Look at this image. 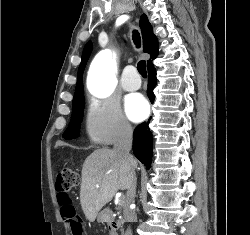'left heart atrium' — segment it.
Instances as JSON below:
<instances>
[{
    "mask_svg": "<svg viewBox=\"0 0 250 235\" xmlns=\"http://www.w3.org/2000/svg\"><path fill=\"white\" fill-rule=\"evenodd\" d=\"M129 117L134 121H140L146 117L148 106L141 96H134L129 99L126 106Z\"/></svg>",
    "mask_w": 250,
    "mask_h": 235,
    "instance_id": "39dd6f15",
    "label": "left heart atrium"
}]
</instances>
